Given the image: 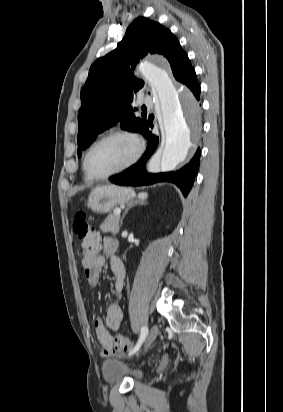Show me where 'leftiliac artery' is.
I'll use <instances>...</instances> for the list:
<instances>
[{"label":"left iliac artery","instance_id":"left-iliac-artery-1","mask_svg":"<svg viewBox=\"0 0 283 412\" xmlns=\"http://www.w3.org/2000/svg\"><path fill=\"white\" fill-rule=\"evenodd\" d=\"M147 334H148V328L146 326H143L141 328V333H140L139 340L136 343L135 347L129 352V355H132V354L136 353L139 350V348L141 347V345H142L145 337L147 336Z\"/></svg>","mask_w":283,"mask_h":412}]
</instances>
